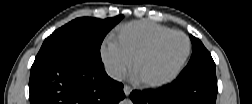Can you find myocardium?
I'll return each instance as SVG.
<instances>
[{"mask_svg":"<svg viewBox=\"0 0 252 104\" xmlns=\"http://www.w3.org/2000/svg\"><path fill=\"white\" fill-rule=\"evenodd\" d=\"M185 39H186L187 41H189V39H188L187 36H185ZM141 56H142V54H141V53H138V54L134 57V59H133V65H134V66H136L137 63L141 60Z\"/></svg>","mask_w":252,"mask_h":104,"instance_id":"myocardium-1","label":"myocardium"}]
</instances>
